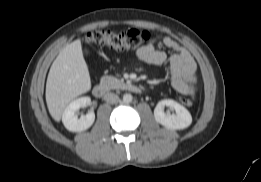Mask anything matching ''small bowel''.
<instances>
[{
	"label": "small bowel",
	"instance_id": "small-bowel-1",
	"mask_svg": "<svg viewBox=\"0 0 261 182\" xmlns=\"http://www.w3.org/2000/svg\"><path fill=\"white\" fill-rule=\"evenodd\" d=\"M163 47L173 51L170 56ZM139 60L162 65L168 62L173 88L181 94L191 95L197 90L196 64L191 54L177 41L168 36H158L136 51Z\"/></svg>",
	"mask_w": 261,
	"mask_h": 182
}]
</instances>
